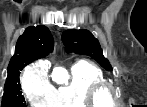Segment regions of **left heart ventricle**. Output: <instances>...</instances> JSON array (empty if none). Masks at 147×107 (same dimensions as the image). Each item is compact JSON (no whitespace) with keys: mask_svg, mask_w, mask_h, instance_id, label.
<instances>
[{"mask_svg":"<svg viewBox=\"0 0 147 107\" xmlns=\"http://www.w3.org/2000/svg\"><path fill=\"white\" fill-rule=\"evenodd\" d=\"M102 99H103L105 102H108L109 96H108L107 94H105V95L102 96Z\"/></svg>","mask_w":147,"mask_h":107,"instance_id":"left-heart-ventricle-1","label":"left heart ventricle"}]
</instances>
